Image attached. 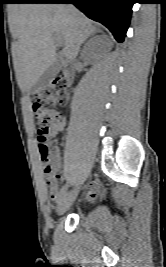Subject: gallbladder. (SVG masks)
<instances>
[{"mask_svg": "<svg viewBox=\"0 0 166 267\" xmlns=\"http://www.w3.org/2000/svg\"><path fill=\"white\" fill-rule=\"evenodd\" d=\"M62 67V58L57 57L54 64L46 69L39 77L37 82L30 89L31 93L40 92L50 86L52 80L56 77Z\"/></svg>", "mask_w": 166, "mask_h": 267, "instance_id": "gallbladder-1", "label": "gallbladder"}]
</instances>
